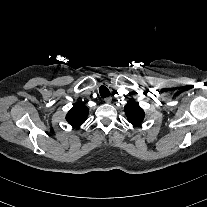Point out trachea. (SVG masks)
<instances>
[{
  "mask_svg": "<svg viewBox=\"0 0 207 207\" xmlns=\"http://www.w3.org/2000/svg\"><path fill=\"white\" fill-rule=\"evenodd\" d=\"M99 92L101 97L103 98L110 96V91L103 85L99 88Z\"/></svg>",
  "mask_w": 207,
  "mask_h": 207,
  "instance_id": "3493384b",
  "label": "trachea"
}]
</instances>
